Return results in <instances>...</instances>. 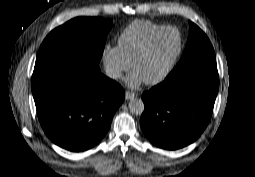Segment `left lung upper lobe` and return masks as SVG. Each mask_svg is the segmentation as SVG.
I'll return each instance as SVG.
<instances>
[{
    "label": "left lung upper lobe",
    "mask_w": 255,
    "mask_h": 177,
    "mask_svg": "<svg viewBox=\"0 0 255 177\" xmlns=\"http://www.w3.org/2000/svg\"><path fill=\"white\" fill-rule=\"evenodd\" d=\"M189 25L190 34L183 56L166 79L196 66L216 65L214 49L208 37L193 22L190 21Z\"/></svg>",
    "instance_id": "left-lung-upper-lobe-1"
}]
</instances>
